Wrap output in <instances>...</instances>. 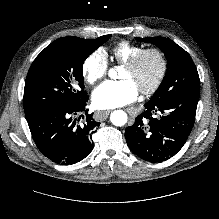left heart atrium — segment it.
Segmentation results:
<instances>
[{
	"label": "left heart atrium",
	"instance_id": "39dd6f15",
	"mask_svg": "<svg viewBox=\"0 0 219 219\" xmlns=\"http://www.w3.org/2000/svg\"><path fill=\"white\" fill-rule=\"evenodd\" d=\"M138 92L129 80L106 81L94 90L92 101L98 109H111L135 101Z\"/></svg>",
	"mask_w": 219,
	"mask_h": 219
}]
</instances>
